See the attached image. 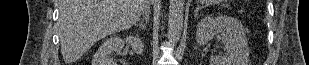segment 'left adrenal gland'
Listing matches in <instances>:
<instances>
[{
  "instance_id": "a2214340",
  "label": "left adrenal gland",
  "mask_w": 309,
  "mask_h": 65,
  "mask_svg": "<svg viewBox=\"0 0 309 65\" xmlns=\"http://www.w3.org/2000/svg\"><path fill=\"white\" fill-rule=\"evenodd\" d=\"M200 10V7H196L194 17L196 18L198 16V12Z\"/></svg>"
}]
</instances>
